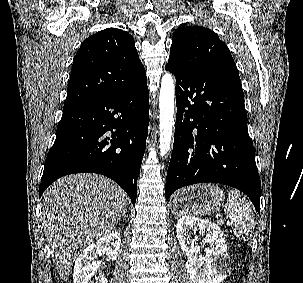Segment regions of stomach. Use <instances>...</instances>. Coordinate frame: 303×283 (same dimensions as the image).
<instances>
[{"mask_svg":"<svg viewBox=\"0 0 303 283\" xmlns=\"http://www.w3.org/2000/svg\"><path fill=\"white\" fill-rule=\"evenodd\" d=\"M223 202L220 188L213 184H197L177 191L172 197L171 209L175 214L205 216L217 212Z\"/></svg>","mask_w":303,"mask_h":283,"instance_id":"stomach-1","label":"stomach"}]
</instances>
